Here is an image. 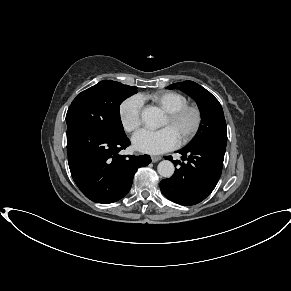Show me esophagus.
Here are the masks:
<instances>
[{"instance_id": "34e87169", "label": "esophagus", "mask_w": 291, "mask_h": 291, "mask_svg": "<svg viewBox=\"0 0 291 291\" xmlns=\"http://www.w3.org/2000/svg\"><path fill=\"white\" fill-rule=\"evenodd\" d=\"M161 156H151V160H152V162H158L159 160H161Z\"/></svg>"}]
</instances>
